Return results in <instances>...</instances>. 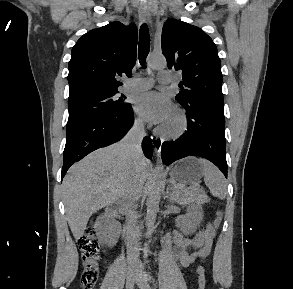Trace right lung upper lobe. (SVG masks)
Instances as JSON below:
<instances>
[{"instance_id": "obj_1", "label": "right lung upper lobe", "mask_w": 293, "mask_h": 289, "mask_svg": "<svg viewBox=\"0 0 293 289\" xmlns=\"http://www.w3.org/2000/svg\"><path fill=\"white\" fill-rule=\"evenodd\" d=\"M137 28L111 22L84 34L72 48L69 98L118 92L121 76L132 75L137 54Z\"/></svg>"}]
</instances>
